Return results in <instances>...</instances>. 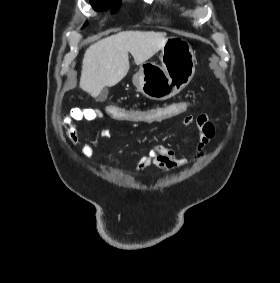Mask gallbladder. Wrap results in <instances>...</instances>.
I'll use <instances>...</instances> for the list:
<instances>
[{
    "label": "gallbladder",
    "mask_w": 280,
    "mask_h": 283,
    "mask_svg": "<svg viewBox=\"0 0 280 283\" xmlns=\"http://www.w3.org/2000/svg\"><path fill=\"white\" fill-rule=\"evenodd\" d=\"M107 96H108V89L107 88H104L101 93L99 94V100L100 101H104L107 99Z\"/></svg>",
    "instance_id": "bac80fb5"
}]
</instances>
